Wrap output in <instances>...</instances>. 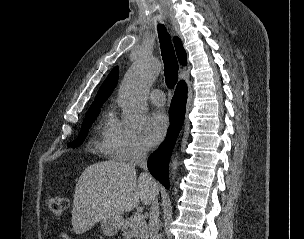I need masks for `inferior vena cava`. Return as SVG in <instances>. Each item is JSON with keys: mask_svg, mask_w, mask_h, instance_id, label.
<instances>
[{"mask_svg": "<svg viewBox=\"0 0 304 239\" xmlns=\"http://www.w3.org/2000/svg\"><path fill=\"white\" fill-rule=\"evenodd\" d=\"M147 153L148 149L145 146H138L134 151L130 165L132 167L140 166L145 170L142 177L146 180L149 185H154L155 182L151 175L147 171ZM150 212H149V232L150 239H160L159 231V204L157 199L154 197L151 202Z\"/></svg>", "mask_w": 304, "mask_h": 239, "instance_id": "602c4592", "label": "inferior vena cava"}]
</instances>
